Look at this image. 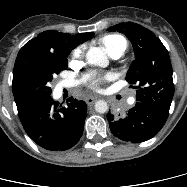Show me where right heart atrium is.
Segmentation results:
<instances>
[{
	"mask_svg": "<svg viewBox=\"0 0 187 187\" xmlns=\"http://www.w3.org/2000/svg\"><path fill=\"white\" fill-rule=\"evenodd\" d=\"M81 54H82V48L81 47H79V48H77L76 50H74V52H73V58H79L80 56H81Z\"/></svg>",
	"mask_w": 187,
	"mask_h": 187,
	"instance_id": "right-heart-atrium-1",
	"label": "right heart atrium"
}]
</instances>
